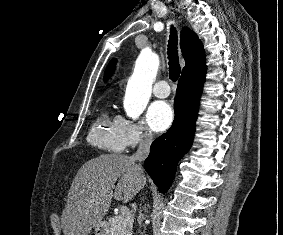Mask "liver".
I'll return each instance as SVG.
<instances>
[{"label":"liver","mask_w":283,"mask_h":235,"mask_svg":"<svg viewBox=\"0 0 283 235\" xmlns=\"http://www.w3.org/2000/svg\"><path fill=\"white\" fill-rule=\"evenodd\" d=\"M145 185L143 171L128 156L104 154L87 161L72 182L62 212L64 235H89L107 214L112 197L127 203Z\"/></svg>","instance_id":"liver-1"}]
</instances>
